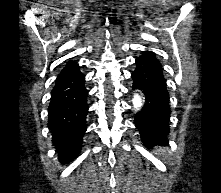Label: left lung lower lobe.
<instances>
[{
  "label": "left lung lower lobe",
  "instance_id": "0a47b994",
  "mask_svg": "<svg viewBox=\"0 0 221 193\" xmlns=\"http://www.w3.org/2000/svg\"><path fill=\"white\" fill-rule=\"evenodd\" d=\"M133 89L140 90L145 103L135 117V125L147 146L166 144L169 133V93L164 69L152 51H144L136 58L132 72ZM159 134V135H158Z\"/></svg>",
  "mask_w": 221,
  "mask_h": 193
}]
</instances>
